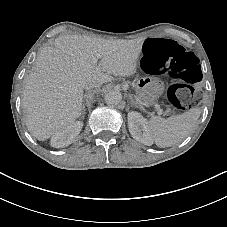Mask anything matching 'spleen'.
Segmentation results:
<instances>
[{
	"label": "spleen",
	"instance_id": "obj_1",
	"mask_svg": "<svg viewBox=\"0 0 227 227\" xmlns=\"http://www.w3.org/2000/svg\"><path fill=\"white\" fill-rule=\"evenodd\" d=\"M201 111L192 108L181 115L171 116L167 119L154 116L148 124L152 140L159 147H171L181 143L195 126Z\"/></svg>",
	"mask_w": 227,
	"mask_h": 227
}]
</instances>
